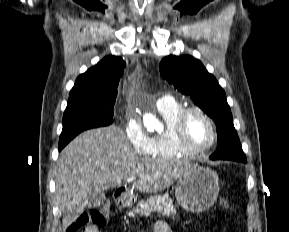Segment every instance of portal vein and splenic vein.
Masks as SVG:
<instances>
[{"instance_id":"1","label":"portal vein and splenic vein","mask_w":289,"mask_h":232,"mask_svg":"<svg viewBox=\"0 0 289 232\" xmlns=\"http://www.w3.org/2000/svg\"><path fill=\"white\" fill-rule=\"evenodd\" d=\"M134 180H136V176H131V177H129V178L126 179V182H127V183H130V182H132V181H134Z\"/></svg>"}]
</instances>
